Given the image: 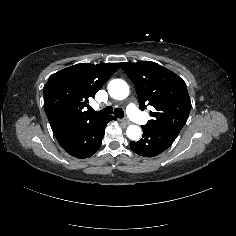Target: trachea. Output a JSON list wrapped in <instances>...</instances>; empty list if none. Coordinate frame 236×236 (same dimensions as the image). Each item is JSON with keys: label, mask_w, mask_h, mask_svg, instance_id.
Listing matches in <instances>:
<instances>
[{"label": "trachea", "mask_w": 236, "mask_h": 236, "mask_svg": "<svg viewBox=\"0 0 236 236\" xmlns=\"http://www.w3.org/2000/svg\"><path fill=\"white\" fill-rule=\"evenodd\" d=\"M112 113H114V115L120 119L124 118V111L121 108H116L113 112L112 107L107 106L104 109L98 111V114H103V115H108Z\"/></svg>", "instance_id": "obj_1"}]
</instances>
